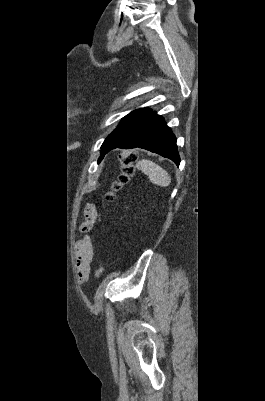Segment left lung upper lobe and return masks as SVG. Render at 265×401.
Segmentation results:
<instances>
[{
  "label": "left lung upper lobe",
  "mask_w": 265,
  "mask_h": 401,
  "mask_svg": "<svg viewBox=\"0 0 265 401\" xmlns=\"http://www.w3.org/2000/svg\"><path fill=\"white\" fill-rule=\"evenodd\" d=\"M138 111H140V110H135V111L131 112L130 114H128L126 117H124V118L122 119L121 123H122L123 121H125L127 118H129L130 116H132L133 114L137 113ZM121 123H120V124H121ZM120 124H119V125H120Z\"/></svg>",
  "instance_id": "1"
}]
</instances>
